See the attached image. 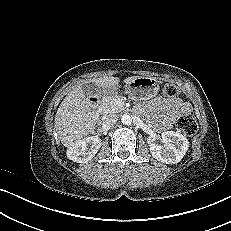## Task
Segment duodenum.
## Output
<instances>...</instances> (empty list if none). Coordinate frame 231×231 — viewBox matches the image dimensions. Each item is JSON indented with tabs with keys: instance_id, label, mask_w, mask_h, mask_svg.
I'll return each instance as SVG.
<instances>
[{
	"instance_id": "duodenum-1",
	"label": "duodenum",
	"mask_w": 231,
	"mask_h": 231,
	"mask_svg": "<svg viewBox=\"0 0 231 231\" xmlns=\"http://www.w3.org/2000/svg\"><path fill=\"white\" fill-rule=\"evenodd\" d=\"M100 104V99L97 96H92L89 99V106L92 110V117L95 118L97 116V109Z\"/></svg>"
}]
</instances>
